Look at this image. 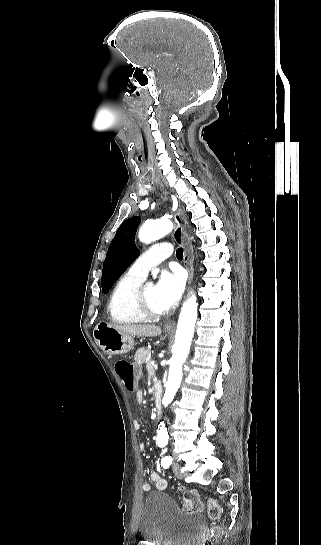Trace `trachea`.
<instances>
[{"instance_id":"3493384b","label":"trachea","mask_w":321,"mask_h":545,"mask_svg":"<svg viewBox=\"0 0 321 545\" xmlns=\"http://www.w3.org/2000/svg\"><path fill=\"white\" fill-rule=\"evenodd\" d=\"M144 158H145L146 165L149 167L151 165V163H152L151 153L150 152H145L144 153ZM176 257L179 260L183 259V248H178V250L176 251Z\"/></svg>"}]
</instances>
